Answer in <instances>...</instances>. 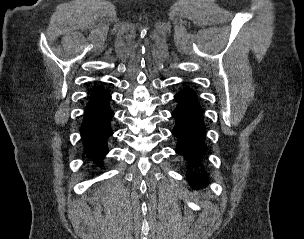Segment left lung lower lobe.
I'll return each mask as SVG.
<instances>
[{
	"mask_svg": "<svg viewBox=\"0 0 304 239\" xmlns=\"http://www.w3.org/2000/svg\"><path fill=\"white\" fill-rule=\"evenodd\" d=\"M178 106L172 112L176 120L172 134L177 138L176 153L190 158L188 164L187 180L194 188L202 187L208 182L205 172L197 173L191 166H200L199 160L206 147L203 146L205 125L203 113L198 104L195 93L190 88H185L175 95Z\"/></svg>",
	"mask_w": 304,
	"mask_h": 239,
	"instance_id": "0a47b994",
	"label": "left lung lower lobe"
}]
</instances>
